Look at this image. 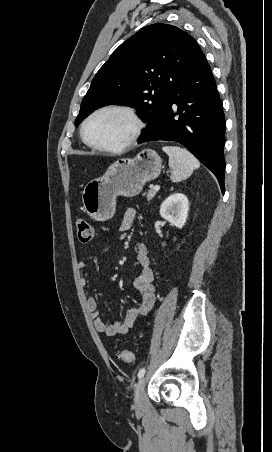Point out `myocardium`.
Segmentation results:
<instances>
[{
    "label": "myocardium",
    "mask_w": 272,
    "mask_h": 452,
    "mask_svg": "<svg viewBox=\"0 0 272 452\" xmlns=\"http://www.w3.org/2000/svg\"><path fill=\"white\" fill-rule=\"evenodd\" d=\"M108 111L121 112V113L125 114L126 116H128L132 122V129H131L129 136L126 138V140L123 143H121L117 146L102 145V144L94 143L88 139L87 134H86V130H87V126H88L89 122L95 116H97L103 112H108ZM142 129H143V122L140 119V117L138 116V114L135 112L134 109H132L129 106H125V105L109 104V105H105V106L97 108L96 110H94L92 113H90L88 115V117L84 120L82 127H81V137H82V140L84 141V143L93 149L104 151V152L119 153V152H122V151L128 149L129 147H131L137 141V139L139 138V136L142 132Z\"/></svg>",
    "instance_id": "obj_1"
}]
</instances>
